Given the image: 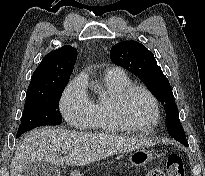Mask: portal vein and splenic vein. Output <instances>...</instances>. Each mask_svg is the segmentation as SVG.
<instances>
[{
    "mask_svg": "<svg viewBox=\"0 0 205 176\" xmlns=\"http://www.w3.org/2000/svg\"><path fill=\"white\" fill-rule=\"evenodd\" d=\"M62 153H67V151H62Z\"/></svg>",
    "mask_w": 205,
    "mask_h": 176,
    "instance_id": "18ae733b",
    "label": "portal vein and splenic vein"
}]
</instances>
